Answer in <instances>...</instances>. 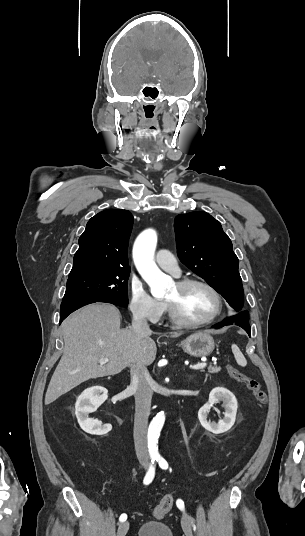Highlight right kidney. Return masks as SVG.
<instances>
[{"mask_svg":"<svg viewBox=\"0 0 305 536\" xmlns=\"http://www.w3.org/2000/svg\"><path fill=\"white\" fill-rule=\"evenodd\" d=\"M107 396V390L101 388V386H93L85 390L81 396H79L76 402V416L77 420L84 432L87 434H104L105 428H102L101 422H95L88 418V414L95 412L97 406H93L92 400L99 402L101 396Z\"/></svg>","mask_w":305,"mask_h":536,"instance_id":"right-kidney-1","label":"right kidney"}]
</instances>
